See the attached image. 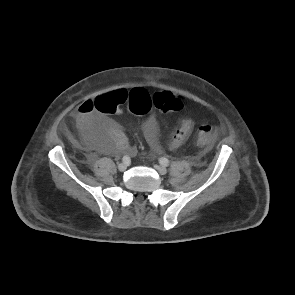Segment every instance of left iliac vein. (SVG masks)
<instances>
[{
    "instance_id": "1",
    "label": "left iliac vein",
    "mask_w": 295,
    "mask_h": 295,
    "mask_svg": "<svg viewBox=\"0 0 295 295\" xmlns=\"http://www.w3.org/2000/svg\"><path fill=\"white\" fill-rule=\"evenodd\" d=\"M154 168L160 175H165L167 173V169L163 166L154 165Z\"/></svg>"
}]
</instances>
